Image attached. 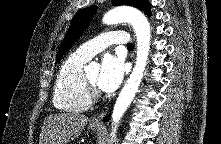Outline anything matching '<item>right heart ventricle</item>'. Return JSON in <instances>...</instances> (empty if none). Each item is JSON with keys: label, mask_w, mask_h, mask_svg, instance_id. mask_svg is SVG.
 Here are the masks:
<instances>
[{"label": "right heart ventricle", "mask_w": 221, "mask_h": 144, "mask_svg": "<svg viewBox=\"0 0 221 144\" xmlns=\"http://www.w3.org/2000/svg\"><path fill=\"white\" fill-rule=\"evenodd\" d=\"M88 60L77 53L61 64L53 89V104L63 112H83L91 105L83 81V69Z\"/></svg>", "instance_id": "right-heart-ventricle-1"}]
</instances>
